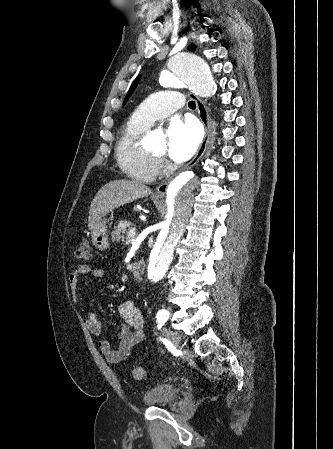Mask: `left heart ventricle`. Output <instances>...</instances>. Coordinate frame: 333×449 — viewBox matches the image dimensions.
I'll list each match as a JSON object with an SVG mask.
<instances>
[{
	"mask_svg": "<svg viewBox=\"0 0 333 449\" xmlns=\"http://www.w3.org/2000/svg\"><path fill=\"white\" fill-rule=\"evenodd\" d=\"M165 151H166V145H165V143H162L161 146L158 149H156L155 153L163 154V153H165Z\"/></svg>",
	"mask_w": 333,
	"mask_h": 449,
	"instance_id": "obj_1",
	"label": "left heart ventricle"
}]
</instances>
